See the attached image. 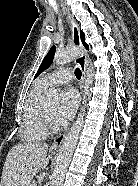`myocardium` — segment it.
Here are the masks:
<instances>
[{
	"instance_id": "1",
	"label": "myocardium",
	"mask_w": 138,
	"mask_h": 186,
	"mask_svg": "<svg viewBox=\"0 0 138 186\" xmlns=\"http://www.w3.org/2000/svg\"><path fill=\"white\" fill-rule=\"evenodd\" d=\"M41 123H42V126L44 127V129L48 133H56L59 130L57 125L54 124L52 122L51 118L49 117L47 107H45V106H44L42 114H41Z\"/></svg>"
}]
</instances>
